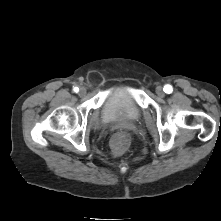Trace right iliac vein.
<instances>
[{
  "label": "right iliac vein",
  "mask_w": 221,
  "mask_h": 221,
  "mask_svg": "<svg viewBox=\"0 0 221 221\" xmlns=\"http://www.w3.org/2000/svg\"><path fill=\"white\" fill-rule=\"evenodd\" d=\"M79 95L80 96H85L86 95V89L84 87H82L80 90H79Z\"/></svg>",
  "instance_id": "63e3f726"
}]
</instances>
